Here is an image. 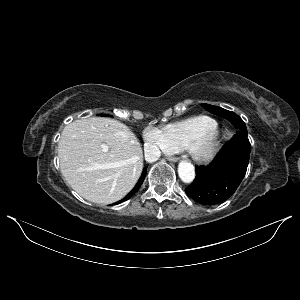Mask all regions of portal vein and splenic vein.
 <instances>
[{
    "instance_id": "portal-vein-and-splenic-vein-1",
    "label": "portal vein and splenic vein",
    "mask_w": 300,
    "mask_h": 300,
    "mask_svg": "<svg viewBox=\"0 0 300 300\" xmlns=\"http://www.w3.org/2000/svg\"><path fill=\"white\" fill-rule=\"evenodd\" d=\"M103 150L107 151V147L105 145H103Z\"/></svg>"
}]
</instances>
